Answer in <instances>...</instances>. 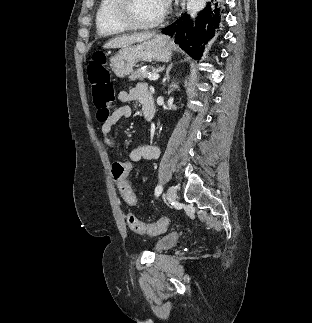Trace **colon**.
<instances>
[{"label": "colon", "mask_w": 312, "mask_h": 323, "mask_svg": "<svg viewBox=\"0 0 312 323\" xmlns=\"http://www.w3.org/2000/svg\"><path fill=\"white\" fill-rule=\"evenodd\" d=\"M88 79L92 84L93 105L99 111L97 121H108L111 114L110 107L114 101L115 89L110 80V73L107 68V61L104 54L97 53L95 60L88 66ZM132 161L130 160H115L112 167V176L120 189V193L125 204H129L130 209H137L138 204L134 202L133 190L126 180L127 172L132 171ZM126 215L128 219V228L130 232L135 234L157 235L165 233L168 229L170 220L163 218L160 221L150 224L141 222L135 219L133 212L128 210Z\"/></svg>", "instance_id": "1"}]
</instances>
